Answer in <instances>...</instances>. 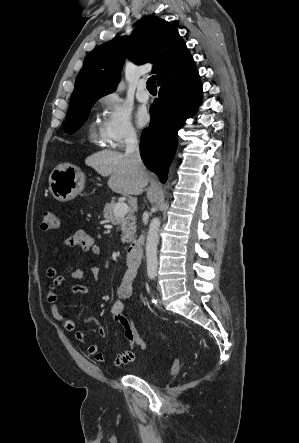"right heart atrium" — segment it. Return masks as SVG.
<instances>
[{"label":"right heart atrium","mask_w":299,"mask_h":443,"mask_svg":"<svg viewBox=\"0 0 299 443\" xmlns=\"http://www.w3.org/2000/svg\"><path fill=\"white\" fill-rule=\"evenodd\" d=\"M102 121L100 135L105 145L121 148L136 140L138 131L134 126L129 109L115 94H107L100 99Z\"/></svg>","instance_id":"right-heart-atrium-1"}]
</instances>
